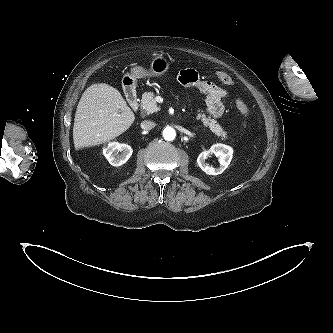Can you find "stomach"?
Segmentation results:
<instances>
[{"label":"stomach","mask_w":333,"mask_h":333,"mask_svg":"<svg viewBox=\"0 0 333 333\" xmlns=\"http://www.w3.org/2000/svg\"><path fill=\"white\" fill-rule=\"evenodd\" d=\"M169 69V62L162 56H157L151 61L150 69H145L142 66H134L130 74L125 76L129 79L130 83H135L138 79L145 77H160L164 75Z\"/></svg>","instance_id":"obj_1"}]
</instances>
